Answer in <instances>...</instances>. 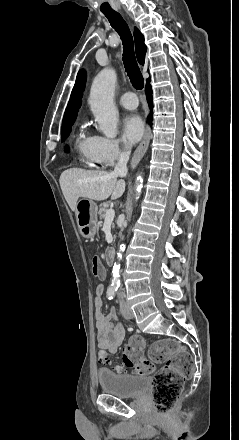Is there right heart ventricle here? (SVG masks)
I'll return each instance as SVG.
<instances>
[{
    "mask_svg": "<svg viewBox=\"0 0 239 440\" xmlns=\"http://www.w3.org/2000/svg\"><path fill=\"white\" fill-rule=\"evenodd\" d=\"M73 146L80 163L88 168H96L100 162L91 150V136L79 130L73 140Z\"/></svg>",
    "mask_w": 239,
    "mask_h": 440,
    "instance_id": "1",
    "label": "right heart ventricle"
}]
</instances>
